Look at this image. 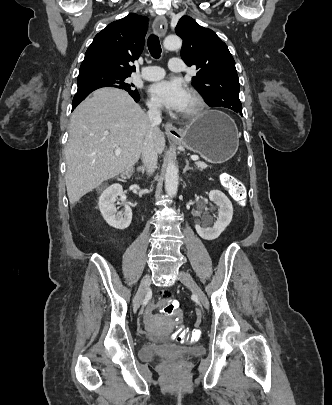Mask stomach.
<instances>
[{"instance_id": "obj_1", "label": "stomach", "mask_w": 332, "mask_h": 405, "mask_svg": "<svg viewBox=\"0 0 332 405\" xmlns=\"http://www.w3.org/2000/svg\"><path fill=\"white\" fill-rule=\"evenodd\" d=\"M172 139L213 164L230 160L239 146L234 121L216 110L203 112Z\"/></svg>"}]
</instances>
